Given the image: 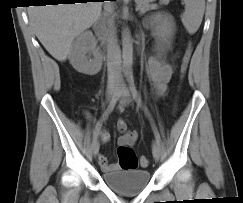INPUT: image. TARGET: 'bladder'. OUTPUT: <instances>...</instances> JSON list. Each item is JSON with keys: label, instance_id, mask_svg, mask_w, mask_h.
<instances>
[{"label": "bladder", "instance_id": "bladder-1", "mask_svg": "<svg viewBox=\"0 0 243 203\" xmlns=\"http://www.w3.org/2000/svg\"><path fill=\"white\" fill-rule=\"evenodd\" d=\"M104 183L115 192L124 195L142 192L151 179L150 172L142 170H115L102 175Z\"/></svg>", "mask_w": 243, "mask_h": 203}]
</instances>
